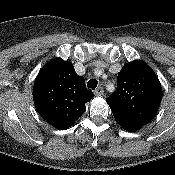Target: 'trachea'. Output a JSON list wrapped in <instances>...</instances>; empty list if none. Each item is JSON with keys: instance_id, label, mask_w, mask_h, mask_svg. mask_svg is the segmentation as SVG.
<instances>
[{"instance_id": "obj_1", "label": "trachea", "mask_w": 175, "mask_h": 175, "mask_svg": "<svg viewBox=\"0 0 175 175\" xmlns=\"http://www.w3.org/2000/svg\"><path fill=\"white\" fill-rule=\"evenodd\" d=\"M97 84H98V81L96 79H90L88 82H87V87L89 89H92L94 90L96 87H97Z\"/></svg>"}]
</instances>
